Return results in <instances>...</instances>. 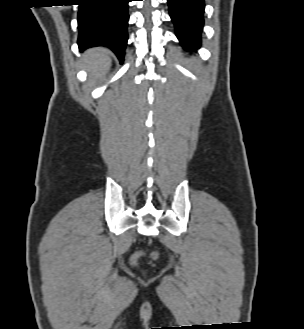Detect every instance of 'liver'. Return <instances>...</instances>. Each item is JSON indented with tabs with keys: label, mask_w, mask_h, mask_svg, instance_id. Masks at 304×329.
<instances>
[{
	"label": "liver",
	"mask_w": 304,
	"mask_h": 329,
	"mask_svg": "<svg viewBox=\"0 0 304 329\" xmlns=\"http://www.w3.org/2000/svg\"><path fill=\"white\" fill-rule=\"evenodd\" d=\"M84 64L93 81L101 80L111 66L109 51L97 47L87 50L84 55Z\"/></svg>",
	"instance_id": "6515ba94"
}]
</instances>
